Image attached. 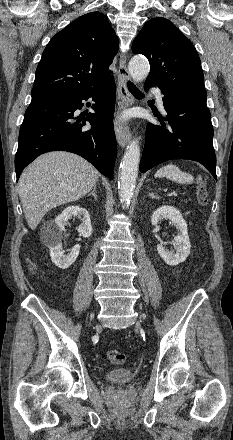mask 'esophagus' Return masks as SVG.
I'll return each instance as SVG.
<instances>
[{"instance_id":"34e87169","label":"esophagus","mask_w":233,"mask_h":440,"mask_svg":"<svg viewBox=\"0 0 233 440\" xmlns=\"http://www.w3.org/2000/svg\"><path fill=\"white\" fill-rule=\"evenodd\" d=\"M127 57L126 54L120 56L119 61V79H118V92L120 97L119 106L120 108L130 106L134 103V98L127 88V82L130 80V75L127 69ZM115 134L118 144L121 147H125L130 141V129L127 125L120 123L119 121L115 124Z\"/></svg>"}]
</instances>
